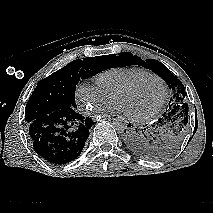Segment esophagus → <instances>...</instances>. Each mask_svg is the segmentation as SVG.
Wrapping results in <instances>:
<instances>
[{
    "label": "esophagus",
    "mask_w": 213,
    "mask_h": 213,
    "mask_svg": "<svg viewBox=\"0 0 213 213\" xmlns=\"http://www.w3.org/2000/svg\"><path fill=\"white\" fill-rule=\"evenodd\" d=\"M116 115H108V114H103V115H99L97 117H100V118H104V119H110V118H114Z\"/></svg>",
    "instance_id": "1"
}]
</instances>
